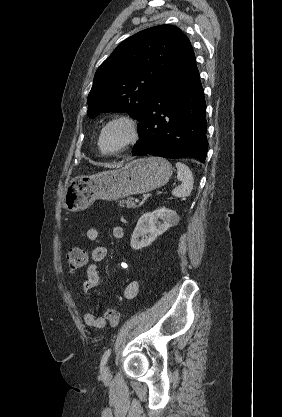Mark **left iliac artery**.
I'll use <instances>...</instances> for the list:
<instances>
[{"label": "left iliac artery", "mask_w": 282, "mask_h": 417, "mask_svg": "<svg viewBox=\"0 0 282 417\" xmlns=\"http://www.w3.org/2000/svg\"><path fill=\"white\" fill-rule=\"evenodd\" d=\"M110 354H111V349H110V348H109V349H107V350L104 352L103 357H102V360H101V363H102L103 365L107 363V361H108V358H109Z\"/></svg>", "instance_id": "1"}]
</instances>
